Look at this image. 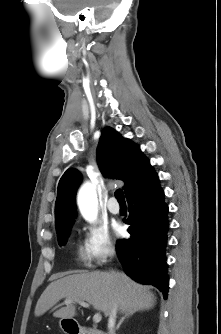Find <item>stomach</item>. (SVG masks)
<instances>
[{
  "mask_svg": "<svg viewBox=\"0 0 221 334\" xmlns=\"http://www.w3.org/2000/svg\"><path fill=\"white\" fill-rule=\"evenodd\" d=\"M71 319H61L60 321H59V325H60V328L64 331V332H66V334H68V328L69 327H77V323L74 321V320H72V321H70Z\"/></svg>",
  "mask_w": 221,
  "mask_h": 334,
  "instance_id": "0dacf381",
  "label": "stomach"
}]
</instances>
